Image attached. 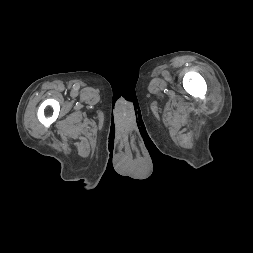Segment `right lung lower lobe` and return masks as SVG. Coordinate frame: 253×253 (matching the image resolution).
<instances>
[{
	"label": "right lung lower lobe",
	"instance_id": "obj_1",
	"mask_svg": "<svg viewBox=\"0 0 253 253\" xmlns=\"http://www.w3.org/2000/svg\"><path fill=\"white\" fill-rule=\"evenodd\" d=\"M150 151H151L152 155H154V154H156V155L160 154L161 155V153L159 152V150L155 146L150 147Z\"/></svg>",
	"mask_w": 253,
	"mask_h": 253
}]
</instances>
